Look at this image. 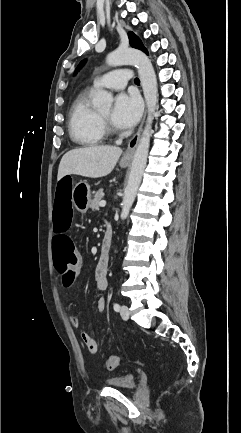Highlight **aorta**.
Instances as JSON below:
<instances>
[{"mask_svg": "<svg viewBox=\"0 0 241 433\" xmlns=\"http://www.w3.org/2000/svg\"><path fill=\"white\" fill-rule=\"evenodd\" d=\"M106 62L109 66L133 64L137 67L148 109L146 125L134 153L129 179L121 203V218L124 220L128 217L135 200L147 163L153 113L157 105V79L150 59L143 52L136 49L119 48L107 56ZM112 102V95L104 90L99 91L93 99L94 106L101 110L110 109Z\"/></svg>", "mask_w": 241, "mask_h": 433, "instance_id": "1", "label": "aorta"}]
</instances>
